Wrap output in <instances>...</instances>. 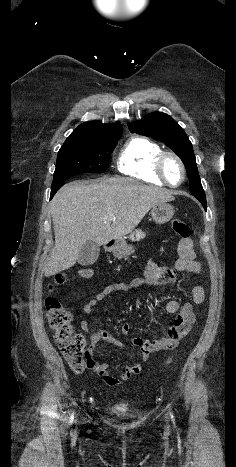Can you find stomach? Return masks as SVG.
I'll list each match as a JSON object with an SVG mask.
<instances>
[{
    "label": "stomach",
    "mask_w": 236,
    "mask_h": 467,
    "mask_svg": "<svg viewBox=\"0 0 236 467\" xmlns=\"http://www.w3.org/2000/svg\"><path fill=\"white\" fill-rule=\"evenodd\" d=\"M174 212V207L171 204L163 202L152 207L151 216L157 224H164L172 219ZM110 250L114 257L118 259H126L135 251L132 245L127 244L123 240L115 242Z\"/></svg>",
    "instance_id": "stomach-1"
}]
</instances>
